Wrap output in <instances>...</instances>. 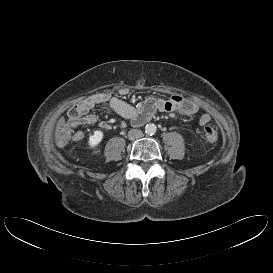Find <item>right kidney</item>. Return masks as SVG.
<instances>
[{
	"instance_id": "ca27d5eb",
	"label": "right kidney",
	"mask_w": 273,
	"mask_h": 273,
	"mask_svg": "<svg viewBox=\"0 0 273 273\" xmlns=\"http://www.w3.org/2000/svg\"><path fill=\"white\" fill-rule=\"evenodd\" d=\"M103 136H104V134H103L102 131L96 130V131L94 132V134L91 135V136L89 137L88 145H89L91 148L96 147V146L99 145L100 142L102 141Z\"/></svg>"
}]
</instances>
